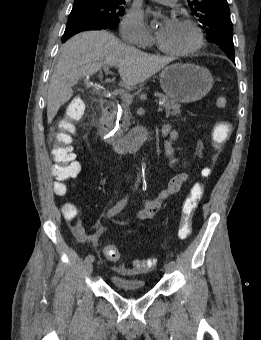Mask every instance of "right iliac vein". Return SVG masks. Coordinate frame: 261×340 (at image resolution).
Segmentation results:
<instances>
[{"instance_id":"obj_1","label":"right iliac vein","mask_w":261,"mask_h":340,"mask_svg":"<svg viewBox=\"0 0 261 340\" xmlns=\"http://www.w3.org/2000/svg\"><path fill=\"white\" fill-rule=\"evenodd\" d=\"M93 271V264L92 263H87L85 264V272L87 274H91Z\"/></svg>"}]
</instances>
